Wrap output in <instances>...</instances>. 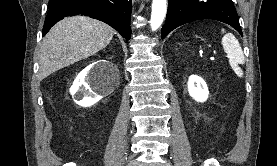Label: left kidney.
<instances>
[{
    "instance_id": "obj_1",
    "label": "left kidney",
    "mask_w": 277,
    "mask_h": 166,
    "mask_svg": "<svg viewBox=\"0 0 277 166\" xmlns=\"http://www.w3.org/2000/svg\"><path fill=\"white\" fill-rule=\"evenodd\" d=\"M188 92L189 95L197 102L206 101L209 95L207 84L197 75H191L189 77Z\"/></svg>"
}]
</instances>
